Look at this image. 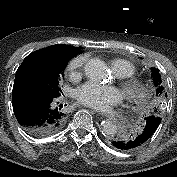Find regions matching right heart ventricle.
Segmentation results:
<instances>
[{
	"label": "right heart ventricle",
	"mask_w": 177,
	"mask_h": 177,
	"mask_svg": "<svg viewBox=\"0 0 177 177\" xmlns=\"http://www.w3.org/2000/svg\"><path fill=\"white\" fill-rule=\"evenodd\" d=\"M112 69L121 78L131 77L136 73L135 65L124 59L114 60L112 62Z\"/></svg>",
	"instance_id": "e07e8e85"
}]
</instances>
